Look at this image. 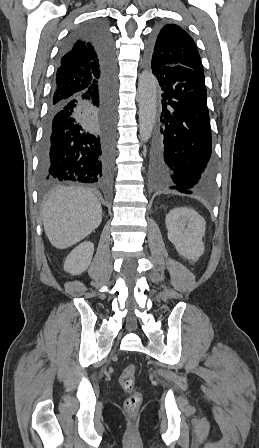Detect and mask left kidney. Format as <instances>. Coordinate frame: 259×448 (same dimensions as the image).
<instances>
[{"label": "left kidney", "mask_w": 259, "mask_h": 448, "mask_svg": "<svg viewBox=\"0 0 259 448\" xmlns=\"http://www.w3.org/2000/svg\"><path fill=\"white\" fill-rule=\"evenodd\" d=\"M168 240L174 244L179 256L197 262L204 252L202 242L206 222L192 208H173L165 218Z\"/></svg>", "instance_id": "5707ae66"}]
</instances>
